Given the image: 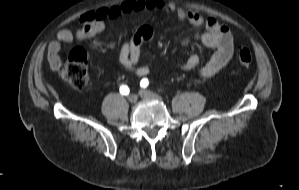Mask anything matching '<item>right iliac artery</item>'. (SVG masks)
Returning a JSON list of instances; mask_svg holds the SVG:
<instances>
[{
    "mask_svg": "<svg viewBox=\"0 0 299 190\" xmlns=\"http://www.w3.org/2000/svg\"><path fill=\"white\" fill-rule=\"evenodd\" d=\"M129 92H130V90H129V88H128L127 85H122V86L120 87V93H121L122 95H128Z\"/></svg>",
    "mask_w": 299,
    "mask_h": 190,
    "instance_id": "obj_1",
    "label": "right iliac artery"
}]
</instances>
